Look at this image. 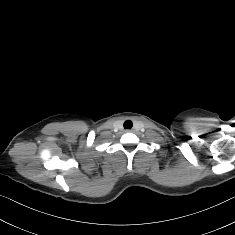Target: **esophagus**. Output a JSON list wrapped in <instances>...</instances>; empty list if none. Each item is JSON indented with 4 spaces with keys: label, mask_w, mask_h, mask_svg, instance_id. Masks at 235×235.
<instances>
[{
    "label": "esophagus",
    "mask_w": 235,
    "mask_h": 235,
    "mask_svg": "<svg viewBox=\"0 0 235 235\" xmlns=\"http://www.w3.org/2000/svg\"><path fill=\"white\" fill-rule=\"evenodd\" d=\"M126 132H133V130L132 129L131 130L127 129Z\"/></svg>",
    "instance_id": "34e87169"
}]
</instances>
